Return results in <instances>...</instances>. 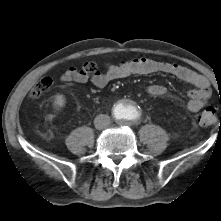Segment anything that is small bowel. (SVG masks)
I'll use <instances>...</instances> for the list:
<instances>
[{
    "label": "small bowel",
    "instance_id": "obj_1",
    "mask_svg": "<svg viewBox=\"0 0 221 221\" xmlns=\"http://www.w3.org/2000/svg\"><path fill=\"white\" fill-rule=\"evenodd\" d=\"M155 73L169 74L188 83L193 88L188 92L189 100L186 109L189 112H198L207 105L210 98V83L203 75L181 65L158 62L147 58L124 60L111 66L105 72L93 75L76 68L67 69L60 77L63 83H86L90 81L97 88H103L110 82L132 75H148ZM145 91L153 96H167L168 90L162 85H149Z\"/></svg>",
    "mask_w": 221,
    "mask_h": 221
}]
</instances>
